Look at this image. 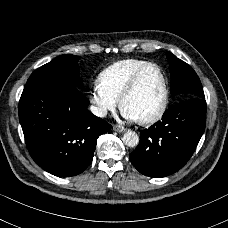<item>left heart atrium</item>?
<instances>
[{"instance_id": "1", "label": "left heart atrium", "mask_w": 228, "mask_h": 228, "mask_svg": "<svg viewBox=\"0 0 228 228\" xmlns=\"http://www.w3.org/2000/svg\"><path fill=\"white\" fill-rule=\"evenodd\" d=\"M124 116L126 117V119H128L130 121L137 120L136 117L128 111H124Z\"/></svg>"}]
</instances>
